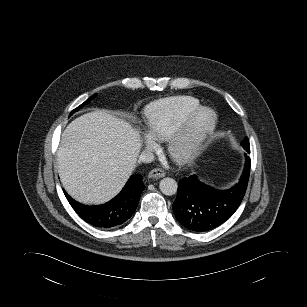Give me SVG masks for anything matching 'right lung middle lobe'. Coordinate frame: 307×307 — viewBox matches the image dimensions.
Returning a JSON list of instances; mask_svg holds the SVG:
<instances>
[{"instance_id":"obj_1","label":"right lung middle lobe","mask_w":307,"mask_h":307,"mask_svg":"<svg viewBox=\"0 0 307 307\" xmlns=\"http://www.w3.org/2000/svg\"><path fill=\"white\" fill-rule=\"evenodd\" d=\"M92 98H93V97L89 98V99L86 100L83 104H81L79 107H77L76 109H74V110L71 112V114L74 113L75 111H77L79 108H81V107L84 106L85 104H87L88 102H90V101L92 100ZM71 114H70V115H71Z\"/></svg>"}]
</instances>
